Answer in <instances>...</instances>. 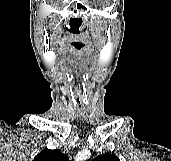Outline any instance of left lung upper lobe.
Here are the masks:
<instances>
[{"instance_id":"left-lung-upper-lobe-1","label":"left lung upper lobe","mask_w":171,"mask_h":161,"mask_svg":"<svg viewBox=\"0 0 171 161\" xmlns=\"http://www.w3.org/2000/svg\"><path fill=\"white\" fill-rule=\"evenodd\" d=\"M95 161H120L115 155L113 154H103L101 156H98Z\"/></svg>"}]
</instances>
